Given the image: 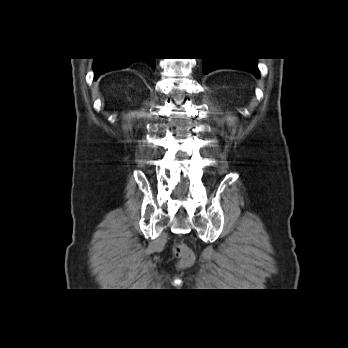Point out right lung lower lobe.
<instances>
[{"label": "right lung lower lobe", "mask_w": 348, "mask_h": 348, "mask_svg": "<svg viewBox=\"0 0 348 348\" xmlns=\"http://www.w3.org/2000/svg\"><path fill=\"white\" fill-rule=\"evenodd\" d=\"M143 60L147 64H149L153 69L155 68V59L154 58H148V59H133V58H126V59H117V58H97L94 59L93 63V69H94V79L96 80L101 74L116 70V69H122L128 67L131 63L135 61H141Z\"/></svg>", "instance_id": "obj_1"}]
</instances>
